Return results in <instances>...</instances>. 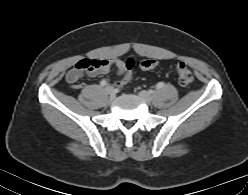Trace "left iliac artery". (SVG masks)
Instances as JSON below:
<instances>
[{
  "label": "left iliac artery",
  "mask_w": 248,
  "mask_h": 195,
  "mask_svg": "<svg viewBox=\"0 0 248 195\" xmlns=\"http://www.w3.org/2000/svg\"><path fill=\"white\" fill-rule=\"evenodd\" d=\"M164 82H159L157 85H156V89H160L162 87H164Z\"/></svg>",
  "instance_id": "44dca946"
}]
</instances>
